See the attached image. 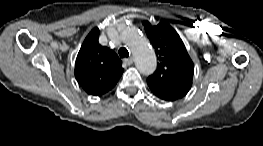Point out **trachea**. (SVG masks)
I'll return each mask as SVG.
<instances>
[{
    "label": "trachea",
    "mask_w": 263,
    "mask_h": 146,
    "mask_svg": "<svg viewBox=\"0 0 263 146\" xmlns=\"http://www.w3.org/2000/svg\"><path fill=\"white\" fill-rule=\"evenodd\" d=\"M118 53H119V56H120L121 58H124V57L127 58V57L129 56L128 50H127L126 48H124V47L120 48L119 51H118Z\"/></svg>",
    "instance_id": "1"
}]
</instances>
